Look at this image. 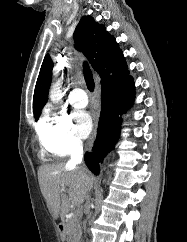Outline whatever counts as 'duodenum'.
Wrapping results in <instances>:
<instances>
[{
    "label": "duodenum",
    "instance_id": "obj_1",
    "mask_svg": "<svg viewBox=\"0 0 187 242\" xmlns=\"http://www.w3.org/2000/svg\"><path fill=\"white\" fill-rule=\"evenodd\" d=\"M57 228L60 236H64L66 231V224L64 222H60Z\"/></svg>",
    "mask_w": 187,
    "mask_h": 242
}]
</instances>
